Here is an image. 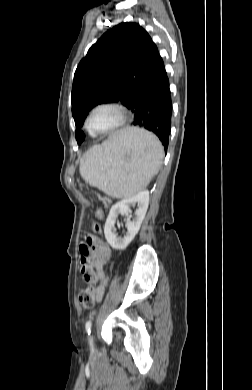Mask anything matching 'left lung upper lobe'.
<instances>
[{"label":"left lung upper lobe","mask_w":252,"mask_h":390,"mask_svg":"<svg viewBox=\"0 0 252 390\" xmlns=\"http://www.w3.org/2000/svg\"><path fill=\"white\" fill-rule=\"evenodd\" d=\"M160 58L155 43L137 23H120L104 33L74 74L71 101L76 126L80 128L98 104L121 102L127 107ZM84 138V133L76 130L78 144Z\"/></svg>","instance_id":"1"}]
</instances>
